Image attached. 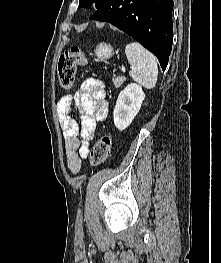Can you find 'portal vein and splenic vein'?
<instances>
[{
	"label": "portal vein and splenic vein",
	"instance_id": "obj_1",
	"mask_svg": "<svg viewBox=\"0 0 221 263\" xmlns=\"http://www.w3.org/2000/svg\"><path fill=\"white\" fill-rule=\"evenodd\" d=\"M121 70H122L123 72H125V71H126V69H125V67H124V66H122V67H121Z\"/></svg>",
	"mask_w": 221,
	"mask_h": 263
}]
</instances>
